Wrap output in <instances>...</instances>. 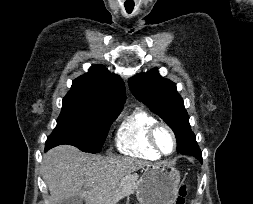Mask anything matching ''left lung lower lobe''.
<instances>
[{"label": "left lung lower lobe", "instance_id": "left-lung-lower-lobe-1", "mask_svg": "<svg viewBox=\"0 0 253 204\" xmlns=\"http://www.w3.org/2000/svg\"><path fill=\"white\" fill-rule=\"evenodd\" d=\"M183 154L194 156L202 163V153H201L197 144H196V146L193 147L192 150L185 152Z\"/></svg>", "mask_w": 253, "mask_h": 204}]
</instances>
